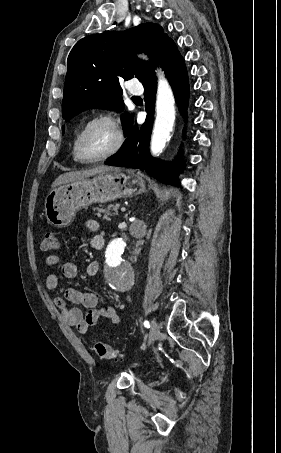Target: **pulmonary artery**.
<instances>
[{
    "mask_svg": "<svg viewBox=\"0 0 281 453\" xmlns=\"http://www.w3.org/2000/svg\"><path fill=\"white\" fill-rule=\"evenodd\" d=\"M127 89H128V88H127ZM128 90H129V91H130L131 93H133V94L137 93V92H135V91H132V90H130V89H128Z\"/></svg>",
    "mask_w": 281,
    "mask_h": 453,
    "instance_id": "1",
    "label": "pulmonary artery"
}]
</instances>
